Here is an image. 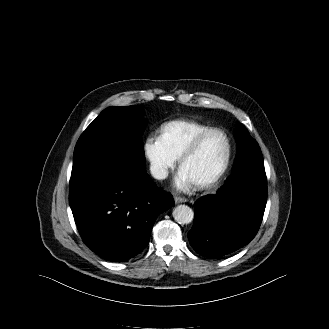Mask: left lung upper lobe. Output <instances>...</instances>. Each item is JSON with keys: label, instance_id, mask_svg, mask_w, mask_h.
I'll list each match as a JSON object with an SVG mask.
<instances>
[{"label": "left lung upper lobe", "instance_id": "obj_1", "mask_svg": "<svg viewBox=\"0 0 329 329\" xmlns=\"http://www.w3.org/2000/svg\"><path fill=\"white\" fill-rule=\"evenodd\" d=\"M236 136L239 144L236 160H242L247 169L264 168L260 147L247 129L240 125L236 131Z\"/></svg>", "mask_w": 329, "mask_h": 329}]
</instances>
